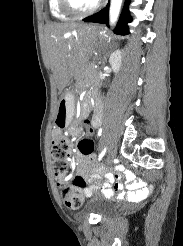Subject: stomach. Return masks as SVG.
I'll use <instances>...</instances> for the list:
<instances>
[{"mask_svg":"<svg viewBox=\"0 0 183 246\" xmlns=\"http://www.w3.org/2000/svg\"><path fill=\"white\" fill-rule=\"evenodd\" d=\"M103 39V33L100 30L95 31L94 42ZM75 113V97L72 92H65L58 101L55 125L58 128H66L70 125Z\"/></svg>","mask_w":183,"mask_h":246,"instance_id":"1","label":"stomach"}]
</instances>
